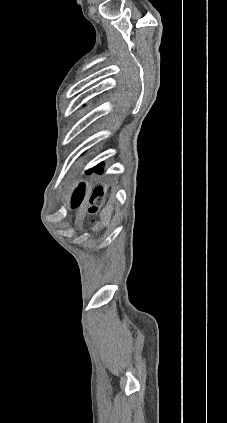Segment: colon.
Segmentation results:
<instances>
[{
	"label": "colon",
	"instance_id": "1",
	"mask_svg": "<svg viewBox=\"0 0 227 423\" xmlns=\"http://www.w3.org/2000/svg\"><path fill=\"white\" fill-rule=\"evenodd\" d=\"M80 202H81V194H80V192L78 191V192H76V193L73 195V197H72V199H71V201H70V206H71L72 208H76V207L80 204ZM95 210H96V205H92V206L90 207V209H89V212H90V213H94V212H95Z\"/></svg>",
	"mask_w": 227,
	"mask_h": 423
}]
</instances>
